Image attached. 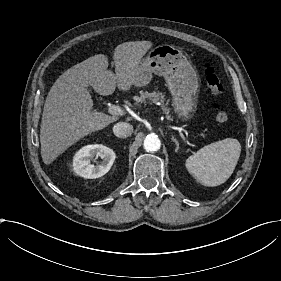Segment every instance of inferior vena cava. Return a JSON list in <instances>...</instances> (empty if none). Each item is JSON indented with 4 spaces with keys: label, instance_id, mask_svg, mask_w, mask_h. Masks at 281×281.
<instances>
[{
    "label": "inferior vena cava",
    "instance_id": "obj_1",
    "mask_svg": "<svg viewBox=\"0 0 281 281\" xmlns=\"http://www.w3.org/2000/svg\"><path fill=\"white\" fill-rule=\"evenodd\" d=\"M133 132V126L126 122H119L114 125L113 133L115 136L120 138H126Z\"/></svg>",
    "mask_w": 281,
    "mask_h": 281
}]
</instances>
